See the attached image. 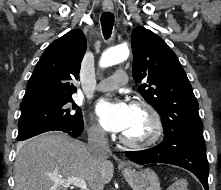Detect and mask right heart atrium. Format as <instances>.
Returning a JSON list of instances; mask_svg holds the SVG:
<instances>
[{
  "instance_id": "d8ad5b80",
  "label": "right heart atrium",
  "mask_w": 221,
  "mask_h": 190,
  "mask_svg": "<svg viewBox=\"0 0 221 190\" xmlns=\"http://www.w3.org/2000/svg\"><path fill=\"white\" fill-rule=\"evenodd\" d=\"M89 135L92 139L101 141L105 137V132L99 124L92 123L89 127Z\"/></svg>"
}]
</instances>
